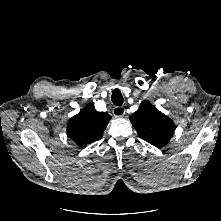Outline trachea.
<instances>
[{
  "label": "trachea",
  "instance_id": "obj_1",
  "mask_svg": "<svg viewBox=\"0 0 221 221\" xmlns=\"http://www.w3.org/2000/svg\"><path fill=\"white\" fill-rule=\"evenodd\" d=\"M111 100L114 105L116 106H122L123 104V96L119 89H114L111 95Z\"/></svg>",
  "mask_w": 221,
  "mask_h": 221
}]
</instances>
